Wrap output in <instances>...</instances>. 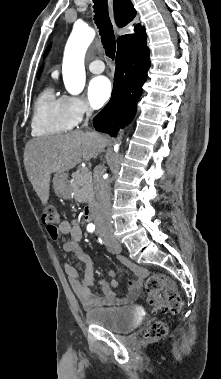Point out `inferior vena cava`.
Masks as SVG:
<instances>
[{"instance_id":"inferior-vena-cava-1","label":"inferior vena cava","mask_w":221,"mask_h":379,"mask_svg":"<svg viewBox=\"0 0 221 379\" xmlns=\"http://www.w3.org/2000/svg\"><path fill=\"white\" fill-rule=\"evenodd\" d=\"M92 114V109L86 108V119L83 127L88 126V120ZM104 169L99 166L94 174V188L97 199V209L95 224L99 230H112L111 224V200L110 190L107 181L103 179Z\"/></svg>"}]
</instances>
